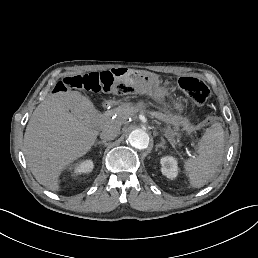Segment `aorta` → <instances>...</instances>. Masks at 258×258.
<instances>
[{"mask_svg":"<svg viewBox=\"0 0 258 258\" xmlns=\"http://www.w3.org/2000/svg\"><path fill=\"white\" fill-rule=\"evenodd\" d=\"M128 141L134 148L142 150L148 147L150 138L145 130L137 128L129 133Z\"/></svg>","mask_w":258,"mask_h":258,"instance_id":"aorta-1","label":"aorta"}]
</instances>
